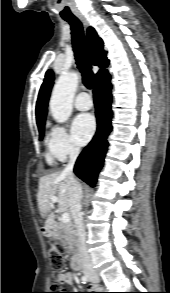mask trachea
I'll use <instances>...</instances> for the list:
<instances>
[{"instance_id":"obj_1","label":"trachea","mask_w":170,"mask_h":293,"mask_svg":"<svg viewBox=\"0 0 170 293\" xmlns=\"http://www.w3.org/2000/svg\"><path fill=\"white\" fill-rule=\"evenodd\" d=\"M71 26L72 44L76 64L82 74V81L86 88L92 89L94 74L91 69L90 60L87 56L84 31L82 23L78 18L65 19Z\"/></svg>"}]
</instances>
